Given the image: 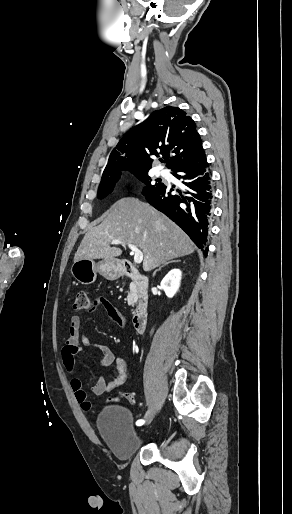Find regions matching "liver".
Masks as SVG:
<instances>
[{
	"instance_id": "1",
	"label": "liver",
	"mask_w": 292,
	"mask_h": 514,
	"mask_svg": "<svg viewBox=\"0 0 292 514\" xmlns=\"http://www.w3.org/2000/svg\"><path fill=\"white\" fill-rule=\"evenodd\" d=\"M112 240L140 248L144 254V272L167 264V260L193 254L195 250L193 242L181 228L136 198H122L111 206L102 224L85 234L74 262L121 256L120 248H110Z\"/></svg>"
}]
</instances>
